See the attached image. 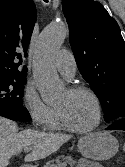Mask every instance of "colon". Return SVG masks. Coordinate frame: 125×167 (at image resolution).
Segmentation results:
<instances>
[{"mask_svg":"<svg viewBox=\"0 0 125 167\" xmlns=\"http://www.w3.org/2000/svg\"><path fill=\"white\" fill-rule=\"evenodd\" d=\"M123 151H124V153H125V143H124V145H123Z\"/></svg>","mask_w":125,"mask_h":167,"instance_id":"colon-1","label":"colon"}]
</instances>
